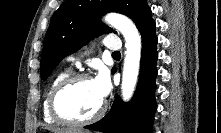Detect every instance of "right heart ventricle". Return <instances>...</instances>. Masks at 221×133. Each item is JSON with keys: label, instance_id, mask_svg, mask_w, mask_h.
Wrapping results in <instances>:
<instances>
[{"label": "right heart ventricle", "instance_id": "e07e8e85", "mask_svg": "<svg viewBox=\"0 0 221 133\" xmlns=\"http://www.w3.org/2000/svg\"><path fill=\"white\" fill-rule=\"evenodd\" d=\"M70 70L69 69H65L63 71H60L59 73H57L53 79L50 81L45 96H44V100H43V104H42V112H43V118L47 123L50 124H57L59 123L57 120H55L50 112H49V107H48V100H49V96L51 91L53 90V88L56 86V84L58 82H60L62 79L66 78L67 76L70 75Z\"/></svg>", "mask_w": 221, "mask_h": 133}]
</instances>
